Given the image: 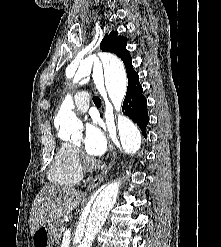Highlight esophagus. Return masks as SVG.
<instances>
[{"label": "esophagus", "mask_w": 221, "mask_h": 247, "mask_svg": "<svg viewBox=\"0 0 221 247\" xmlns=\"http://www.w3.org/2000/svg\"><path fill=\"white\" fill-rule=\"evenodd\" d=\"M115 154L113 155V158L111 159L109 165L107 166V168H105L98 176H96L94 178V180H92L90 182V184L87 187L88 191H91L92 189H94L95 187H97L102 181L103 179L107 176L108 172L110 171V169L112 168L114 162H115V158H114Z\"/></svg>", "instance_id": "obj_1"}]
</instances>
